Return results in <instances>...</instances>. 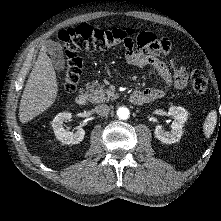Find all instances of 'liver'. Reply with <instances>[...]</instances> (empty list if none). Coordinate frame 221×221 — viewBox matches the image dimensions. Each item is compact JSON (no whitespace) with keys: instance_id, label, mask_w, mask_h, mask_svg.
I'll return each mask as SVG.
<instances>
[{"instance_id":"liver-1","label":"liver","mask_w":221,"mask_h":221,"mask_svg":"<svg viewBox=\"0 0 221 221\" xmlns=\"http://www.w3.org/2000/svg\"><path fill=\"white\" fill-rule=\"evenodd\" d=\"M57 93L54 66L46 47L42 46L20 100L19 120L27 123L47 110L54 103Z\"/></svg>"}]
</instances>
